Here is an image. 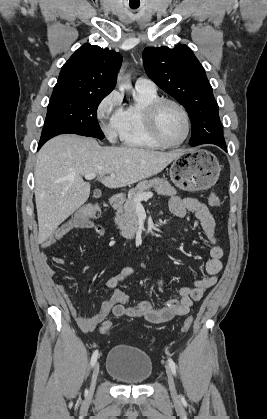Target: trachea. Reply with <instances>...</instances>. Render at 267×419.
<instances>
[{"label": "trachea", "instance_id": "obj_1", "mask_svg": "<svg viewBox=\"0 0 267 419\" xmlns=\"http://www.w3.org/2000/svg\"><path fill=\"white\" fill-rule=\"evenodd\" d=\"M132 9H137L138 6H130Z\"/></svg>", "mask_w": 267, "mask_h": 419}]
</instances>
